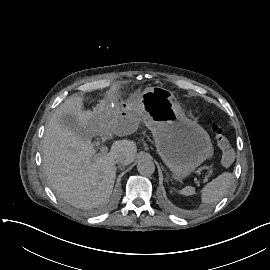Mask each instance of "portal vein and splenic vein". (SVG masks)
Returning <instances> with one entry per match:
<instances>
[{
  "label": "portal vein and splenic vein",
  "instance_id": "18ae733b",
  "mask_svg": "<svg viewBox=\"0 0 270 270\" xmlns=\"http://www.w3.org/2000/svg\"><path fill=\"white\" fill-rule=\"evenodd\" d=\"M100 151H101V153H105V152H108V149L105 148V145H101L100 146ZM206 181H207V178L204 179V182H206Z\"/></svg>",
  "mask_w": 270,
  "mask_h": 270
}]
</instances>
